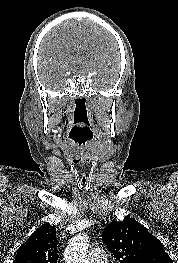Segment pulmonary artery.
Wrapping results in <instances>:
<instances>
[{
    "mask_svg": "<svg viewBox=\"0 0 178 263\" xmlns=\"http://www.w3.org/2000/svg\"><path fill=\"white\" fill-rule=\"evenodd\" d=\"M107 256L103 249L93 248L89 252V263H106Z\"/></svg>",
    "mask_w": 178,
    "mask_h": 263,
    "instance_id": "pulmonary-artery-1",
    "label": "pulmonary artery"
}]
</instances>
